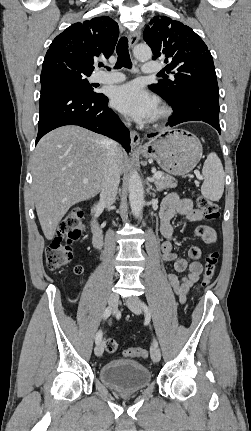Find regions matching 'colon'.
Returning <instances> with one entry per match:
<instances>
[{"instance_id":"1","label":"colon","mask_w":251,"mask_h":431,"mask_svg":"<svg viewBox=\"0 0 251 431\" xmlns=\"http://www.w3.org/2000/svg\"><path fill=\"white\" fill-rule=\"evenodd\" d=\"M196 201L200 211L207 220L214 221L219 217L218 206L214 202L203 195H198ZM82 219L83 211L79 207L70 209L64 216L58 227L56 237L46 248V264L50 271H57L67 266L72 260L73 251L71 243L77 240L81 235ZM218 262L219 253L216 250L210 251L205 259V270L201 282L203 287L209 286L212 282ZM82 271L83 269L81 266L78 265L74 267V273L76 275L81 274ZM104 345L108 353H114L118 348V344L114 339H107ZM123 354L126 357L142 359L148 357V351L141 347H130L124 350Z\"/></svg>"}]
</instances>
